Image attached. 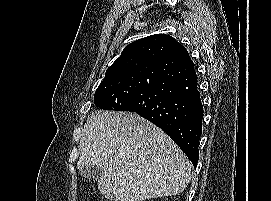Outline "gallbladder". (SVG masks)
Wrapping results in <instances>:
<instances>
[{
    "label": "gallbladder",
    "mask_w": 271,
    "mask_h": 201,
    "mask_svg": "<svg viewBox=\"0 0 271 201\" xmlns=\"http://www.w3.org/2000/svg\"><path fill=\"white\" fill-rule=\"evenodd\" d=\"M79 172L82 177L92 180H97L102 175L101 168L96 165L86 166L82 168Z\"/></svg>",
    "instance_id": "obj_1"
}]
</instances>
